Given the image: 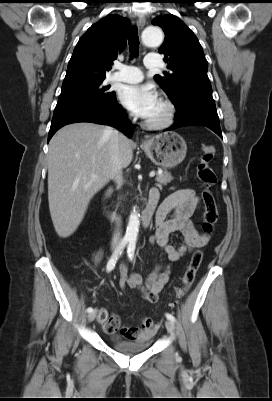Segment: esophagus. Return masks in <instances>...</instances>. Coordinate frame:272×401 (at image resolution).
<instances>
[{
  "label": "esophagus",
  "mask_w": 272,
  "mask_h": 401,
  "mask_svg": "<svg viewBox=\"0 0 272 401\" xmlns=\"http://www.w3.org/2000/svg\"><path fill=\"white\" fill-rule=\"evenodd\" d=\"M145 22H146V19H145L144 16H139V17L137 18V26H138V28H139L140 30L143 29V27H144V25H145Z\"/></svg>",
  "instance_id": "esophagus-1"
}]
</instances>
